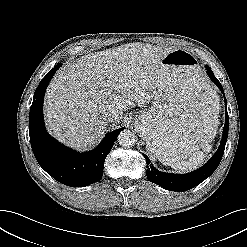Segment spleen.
<instances>
[{
	"label": "spleen",
	"instance_id": "obj_1",
	"mask_svg": "<svg viewBox=\"0 0 247 247\" xmlns=\"http://www.w3.org/2000/svg\"><path fill=\"white\" fill-rule=\"evenodd\" d=\"M209 142H205L203 144V151H196L189 157L187 161L182 160L174 162L170 164L171 167L181 172H188L197 169L200 165L204 163L206 154L209 153L212 149V146L209 144Z\"/></svg>",
	"mask_w": 247,
	"mask_h": 247
}]
</instances>
